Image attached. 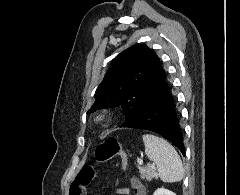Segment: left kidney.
I'll use <instances>...</instances> for the list:
<instances>
[{
  "instance_id": "left-kidney-1",
  "label": "left kidney",
  "mask_w": 240,
  "mask_h": 195,
  "mask_svg": "<svg viewBox=\"0 0 240 195\" xmlns=\"http://www.w3.org/2000/svg\"><path fill=\"white\" fill-rule=\"evenodd\" d=\"M153 195H176V193L170 191V189H165V187H158V189H155Z\"/></svg>"
}]
</instances>
